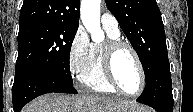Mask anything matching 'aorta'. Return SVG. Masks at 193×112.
<instances>
[{"instance_id":"762f6f07","label":"aorta","mask_w":193,"mask_h":112,"mask_svg":"<svg viewBox=\"0 0 193 112\" xmlns=\"http://www.w3.org/2000/svg\"><path fill=\"white\" fill-rule=\"evenodd\" d=\"M100 3L101 0H82L80 6L82 23L94 42L104 40V32L100 27Z\"/></svg>"}]
</instances>
